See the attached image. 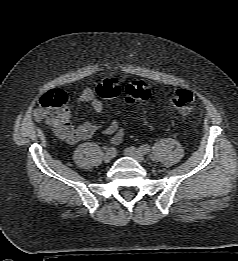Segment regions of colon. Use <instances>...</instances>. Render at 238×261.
<instances>
[{"label":"colon","instance_id":"1","mask_svg":"<svg viewBox=\"0 0 238 261\" xmlns=\"http://www.w3.org/2000/svg\"><path fill=\"white\" fill-rule=\"evenodd\" d=\"M96 93L103 99L115 98L121 93V86L118 81L108 79L97 86ZM150 95L149 85L143 80H136L126 86L124 99L128 104L134 105L146 101ZM194 99L192 91L177 89L171 102L180 115L187 116L193 110ZM37 116L44 117L51 126L63 122L69 117L67 94L61 90L46 92L39 100Z\"/></svg>","mask_w":238,"mask_h":261}]
</instances>
